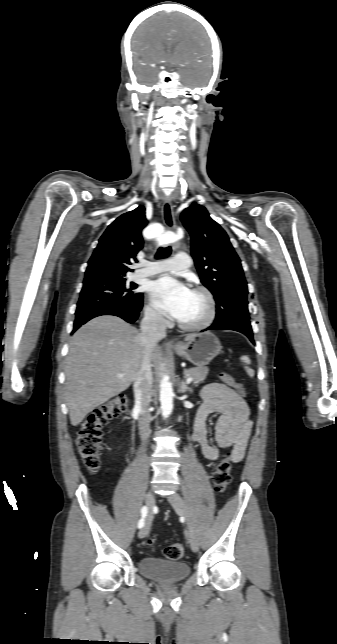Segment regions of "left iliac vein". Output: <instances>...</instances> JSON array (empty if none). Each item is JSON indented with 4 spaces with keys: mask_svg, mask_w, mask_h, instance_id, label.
<instances>
[{
    "mask_svg": "<svg viewBox=\"0 0 337 644\" xmlns=\"http://www.w3.org/2000/svg\"><path fill=\"white\" fill-rule=\"evenodd\" d=\"M168 501L170 502V504L173 506V508L178 514L186 518L187 525L189 528L188 541L190 543V547L192 551L197 552L199 549V540H198L197 533L194 529L193 523L190 519V515L184 500L178 493H173L170 496H168Z\"/></svg>",
    "mask_w": 337,
    "mask_h": 644,
    "instance_id": "1",
    "label": "left iliac vein"
}]
</instances>
